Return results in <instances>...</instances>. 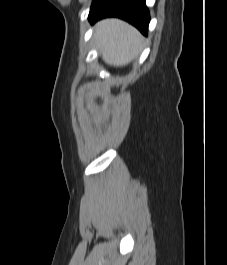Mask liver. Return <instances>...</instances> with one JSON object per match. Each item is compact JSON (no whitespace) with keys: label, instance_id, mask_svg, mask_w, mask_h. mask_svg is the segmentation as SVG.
Wrapping results in <instances>:
<instances>
[{"label":"liver","instance_id":"6515ba94","mask_svg":"<svg viewBox=\"0 0 227 265\" xmlns=\"http://www.w3.org/2000/svg\"><path fill=\"white\" fill-rule=\"evenodd\" d=\"M94 38L102 59L111 66H124L141 52L144 37L125 21L109 18L95 25Z\"/></svg>","mask_w":227,"mask_h":265}]
</instances>
